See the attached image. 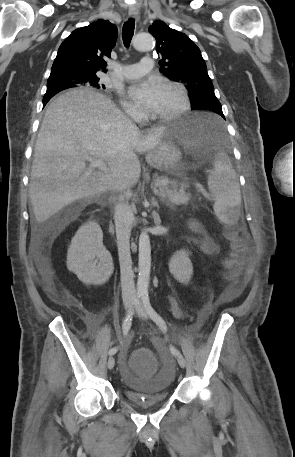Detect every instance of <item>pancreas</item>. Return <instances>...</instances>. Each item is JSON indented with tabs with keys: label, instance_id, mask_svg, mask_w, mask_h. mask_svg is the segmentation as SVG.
Listing matches in <instances>:
<instances>
[{
	"label": "pancreas",
	"instance_id": "cf45deb5",
	"mask_svg": "<svg viewBox=\"0 0 295 457\" xmlns=\"http://www.w3.org/2000/svg\"><path fill=\"white\" fill-rule=\"evenodd\" d=\"M168 180L166 178H158L156 182ZM186 183H181L178 187L176 181H168L165 186H159V197L162 201L170 204H183L189 201L191 194L186 192Z\"/></svg>",
	"mask_w": 295,
	"mask_h": 457
}]
</instances>
